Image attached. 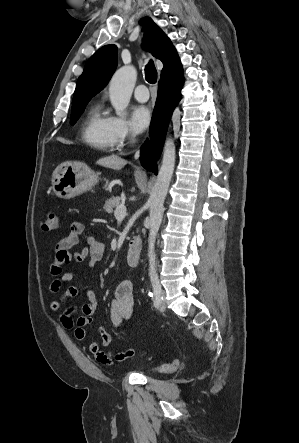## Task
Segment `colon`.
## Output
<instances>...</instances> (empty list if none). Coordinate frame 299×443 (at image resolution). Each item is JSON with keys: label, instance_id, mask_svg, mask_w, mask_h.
Instances as JSON below:
<instances>
[{"label": "colon", "instance_id": "obj_1", "mask_svg": "<svg viewBox=\"0 0 299 443\" xmlns=\"http://www.w3.org/2000/svg\"><path fill=\"white\" fill-rule=\"evenodd\" d=\"M59 220L55 212L47 211L44 215V221L42 223V229L44 231H53L58 228ZM178 360H171L169 362L161 363L157 366V369L163 373H172L178 369Z\"/></svg>", "mask_w": 299, "mask_h": 443}]
</instances>
